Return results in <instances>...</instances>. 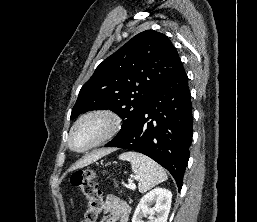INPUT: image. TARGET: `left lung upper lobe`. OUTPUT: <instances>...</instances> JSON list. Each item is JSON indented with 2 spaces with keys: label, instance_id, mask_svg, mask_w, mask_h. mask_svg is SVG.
<instances>
[{
  "label": "left lung upper lobe",
  "instance_id": "obj_1",
  "mask_svg": "<svg viewBox=\"0 0 257 222\" xmlns=\"http://www.w3.org/2000/svg\"><path fill=\"white\" fill-rule=\"evenodd\" d=\"M180 64L166 35L154 30L141 32L96 68L82 86L70 119L89 110L110 109L124 119L118 136Z\"/></svg>",
  "mask_w": 257,
  "mask_h": 222
}]
</instances>
